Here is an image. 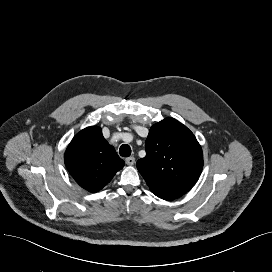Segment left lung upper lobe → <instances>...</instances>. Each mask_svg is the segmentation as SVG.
Listing matches in <instances>:
<instances>
[{"instance_id":"left-lung-upper-lobe-1","label":"left lung upper lobe","mask_w":272,"mask_h":272,"mask_svg":"<svg viewBox=\"0 0 272 272\" xmlns=\"http://www.w3.org/2000/svg\"><path fill=\"white\" fill-rule=\"evenodd\" d=\"M146 156L136 166L154 194L179 198L197 182L203 153L193 133L168 117L154 124L145 143Z\"/></svg>"}]
</instances>
